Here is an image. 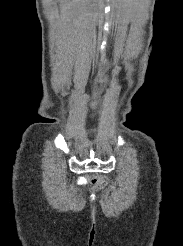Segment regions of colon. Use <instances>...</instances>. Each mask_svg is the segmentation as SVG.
Listing matches in <instances>:
<instances>
[{"mask_svg":"<svg viewBox=\"0 0 183 246\" xmlns=\"http://www.w3.org/2000/svg\"><path fill=\"white\" fill-rule=\"evenodd\" d=\"M85 179H87V182H95L98 188L104 187L107 183L105 178L94 177V174H85Z\"/></svg>","mask_w":183,"mask_h":246,"instance_id":"obj_1","label":"colon"}]
</instances>
